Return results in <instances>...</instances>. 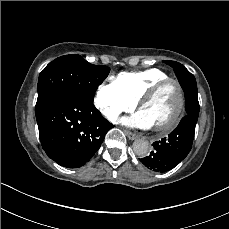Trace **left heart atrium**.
<instances>
[{
	"label": "left heart atrium",
	"instance_id": "1",
	"mask_svg": "<svg viewBox=\"0 0 229 229\" xmlns=\"http://www.w3.org/2000/svg\"><path fill=\"white\" fill-rule=\"evenodd\" d=\"M119 121L124 125L140 129H149L151 127L149 121L141 112L131 117L121 118Z\"/></svg>",
	"mask_w": 229,
	"mask_h": 229
}]
</instances>
